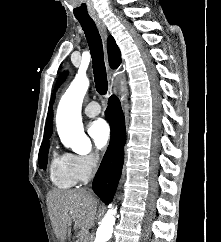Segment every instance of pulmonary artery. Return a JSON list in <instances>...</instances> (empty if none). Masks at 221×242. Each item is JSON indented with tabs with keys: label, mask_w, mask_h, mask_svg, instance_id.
Returning <instances> with one entry per match:
<instances>
[{
	"label": "pulmonary artery",
	"mask_w": 221,
	"mask_h": 242,
	"mask_svg": "<svg viewBox=\"0 0 221 242\" xmlns=\"http://www.w3.org/2000/svg\"><path fill=\"white\" fill-rule=\"evenodd\" d=\"M101 109L100 106L97 102H90L86 107H85V114L88 117H95L100 113Z\"/></svg>",
	"instance_id": "obj_1"
}]
</instances>
